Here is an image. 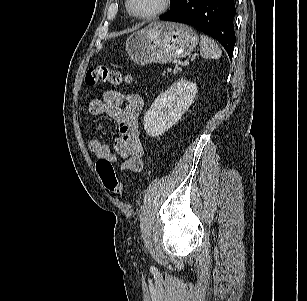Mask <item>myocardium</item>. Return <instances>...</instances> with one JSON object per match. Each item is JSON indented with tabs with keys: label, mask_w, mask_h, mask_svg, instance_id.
I'll list each match as a JSON object with an SVG mask.
<instances>
[{
	"label": "myocardium",
	"mask_w": 307,
	"mask_h": 301,
	"mask_svg": "<svg viewBox=\"0 0 307 301\" xmlns=\"http://www.w3.org/2000/svg\"><path fill=\"white\" fill-rule=\"evenodd\" d=\"M171 0H163L161 6L152 13L149 14H139L137 13L132 6V0H126V7L128 12L135 18L140 20H151L154 19L163 13H165L170 7Z\"/></svg>",
	"instance_id": "1"
}]
</instances>
